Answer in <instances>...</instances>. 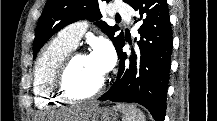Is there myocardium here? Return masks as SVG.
I'll list each match as a JSON object with an SVG mask.
<instances>
[{
  "instance_id": "obj_1",
  "label": "myocardium",
  "mask_w": 217,
  "mask_h": 121,
  "mask_svg": "<svg viewBox=\"0 0 217 121\" xmlns=\"http://www.w3.org/2000/svg\"><path fill=\"white\" fill-rule=\"evenodd\" d=\"M79 57H88V55L86 53H83V52H71V53H69L68 56L59 65V67L55 73V76L53 78L52 84H53V89H54L55 95H57L58 98L63 100V101L74 102V103L88 102V101L95 99L100 94H102L106 88L107 77L103 76L98 87L89 94L77 96V95L72 94L69 91L67 81H66L67 75H68V72L71 69L73 63Z\"/></svg>"
}]
</instances>
